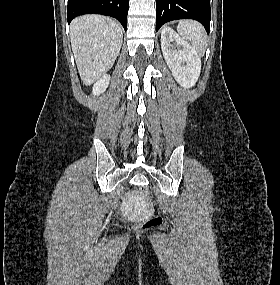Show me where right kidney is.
<instances>
[{"label":"right kidney","mask_w":280,"mask_h":285,"mask_svg":"<svg viewBox=\"0 0 280 285\" xmlns=\"http://www.w3.org/2000/svg\"><path fill=\"white\" fill-rule=\"evenodd\" d=\"M110 82V75H103L94 85L92 92L94 95H100L106 91Z\"/></svg>","instance_id":"1"}]
</instances>
